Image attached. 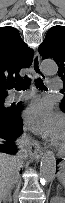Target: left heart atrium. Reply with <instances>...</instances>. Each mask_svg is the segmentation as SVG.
Wrapping results in <instances>:
<instances>
[{"label": "left heart atrium", "mask_w": 65, "mask_h": 203, "mask_svg": "<svg viewBox=\"0 0 65 203\" xmlns=\"http://www.w3.org/2000/svg\"><path fill=\"white\" fill-rule=\"evenodd\" d=\"M24 119L28 129L54 141H58L64 133V117L54 111L48 101L41 100L31 104L24 112Z\"/></svg>", "instance_id": "39dd6f15"}]
</instances>
